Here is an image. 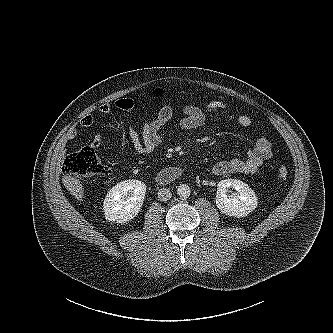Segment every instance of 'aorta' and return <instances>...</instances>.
Masks as SVG:
<instances>
[{
  "label": "aorta",
  "instance_id": "1",
  "mask_svg": "<svg viewBox=\"0 0 333 333\" xmlns=\"http://www.w3.org/2000/svg\"><path fill=\"white\" fill-rule=\"evenodd\" d=\"M190 187L186 184H181L180 186H178L177 188V194L181 197V198H188L190 196Z\"/></svg>",
  "mask_w": 333,
  "mask_h": 333
}]
</instances>
